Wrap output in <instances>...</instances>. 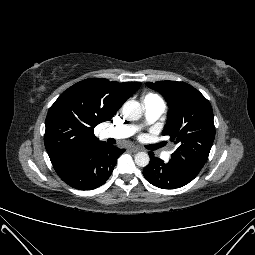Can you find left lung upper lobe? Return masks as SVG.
Returning a JSON list of instances; mask_svg holds the SVG:
<instances>
[{
    "instance_id": "1",
    "label": "left lung upper lobe",
    "mask_w": 255,
    "mask_h": 255,
    "mask_svg": "<svg viewBox=\"0 0 255 255\" xmlns=\"http://www.w3.org/2000/svg\"><path fill=\"white\" fill-rule=\"evenodd\" d=\"M146 85L159 91L168 103V121L162 134L170 136V140L179 145L171 160L202 168L215 137L209 101L184 82L158 81Z\"/></svg>"
}]
</instances>
